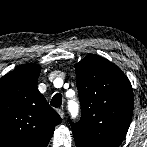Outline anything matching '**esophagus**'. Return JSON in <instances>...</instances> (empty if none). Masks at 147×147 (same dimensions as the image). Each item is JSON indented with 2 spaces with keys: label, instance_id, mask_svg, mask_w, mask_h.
<instances>
[{
  "label": "esophagus",
  "instance_id": "obj_1",
  "mask_svg": "<svg viewBox=\"0 0 147 147\" xmlns=\"http://www.w3.org/2000/svg\"><path fill=\"white\" fill-rule=\"evenodd\" d=\"M56 111L59 114V116L63 119L64 118V111L60 108H58Z\"/></svg>",
  "mask_w": 147,
  "mask_h": 147
}]
</instances>
